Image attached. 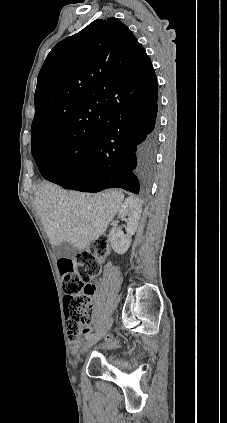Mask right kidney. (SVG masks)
I'll use <instances>...</instances> for the list:
<instances>
[{"instance_id":"1","label":"right kidney","mask_w":227,"mask_h":423,"mask_svg":"<svg viewBox=\"0 0 227 423\" xmlns=\"http://www.w3.org/2000/svg\"><path fill=\"white\" fill-rule=\"evenodd\" d=\"M141 213L142 206L138 198H127L122 204L119 215L125 217L127 233H124L121 227H112L108 235V241H110L111 247L116 253H126L127 249H129L132 235H134L139 225Z\"/></svg>"}]
</instances>
